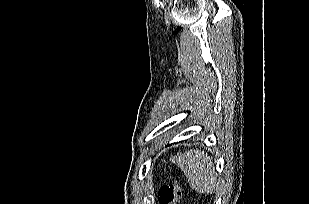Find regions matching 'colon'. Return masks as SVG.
I'll return each mask as SVG.
<instances>
[{
	"mask_svg": "<svg viewBox=\"0 0 309 204\" xmlns=\"http://www.w3.org/2000/svg\"><path fill=\"white\" fill-rule=\"evenodd\" d=\"M182 196V187L179 183L173 182L164 185L159 191L160 204H177Z\"/></svg>",
	"mask_w": 309,
	"mask_h": 204,
	"instance_id": "colon-1",
	"label": "colon"
}]
</instances>
